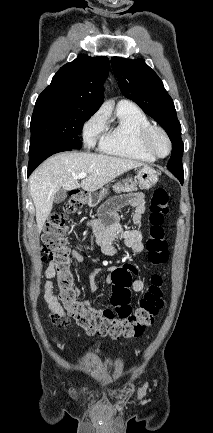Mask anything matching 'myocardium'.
<instances>
[{"mask_svg":"<svg viewBox=\"0 0 213 433\" xmlns=\"http://www.w3.org/2000/svg\"><path fill=\"white\" fill-rule=\"evenodd\" d=\"M157 132L162 134L168 143V151L164 155L158 153L157 150L154 148L153 143H152L153 135ZM140 144H141V147L147 153H149L150 155H152L155 158H160V159L166 158L167 156H169L172 152V149H173V143H172L171 137L169 136L167 131L163 127L158 126V125H153V124H150V125H148L142 129V131L140 133Z\"/></svg>","mask_w":213,"mask_h":433,"instance_id":"myocardium-1","label":"myocardium"}]
</instances>
